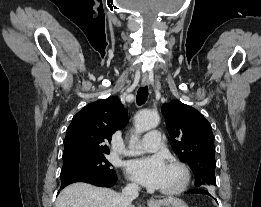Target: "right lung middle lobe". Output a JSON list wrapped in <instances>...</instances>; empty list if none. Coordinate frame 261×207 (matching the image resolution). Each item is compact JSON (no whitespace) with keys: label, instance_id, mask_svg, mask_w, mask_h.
<instances>
[{"label":"right lung middle lobe","instance_id":"right-lung-middle-lobe-1","mask_svg":"<svg viewBox=\"0 0 261 207\" xmlns=\"http://www.w3.org/2000/svg\"><path fill=\"white\" fill-rule=\"evenodd\" d=\"M106 155L81 156L63 161L61 181L83 175H116Z\"/></svg>","mask_w":261,"mask_h":207}]
</instances>
